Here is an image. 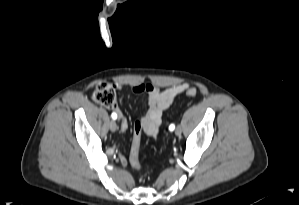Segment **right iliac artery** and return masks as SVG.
Instances as JSON below:
<instances>
[{
  "label": "right iliac artery",
  "instance_id": "1",
  "mask_svg": "<svg viewBox=\"0 0 299 205\" xmlns=\"http://www.w3.org/2000/svg\"><path fill=\"white\" fill-rule=\"evenodd\" d=\"M111 117H112V119L115 120V119L117 118V114H116V113H112V114H111Z\"/></svg>",
  "mask_w": 299,
  "mask_h": 205
}]
</instances>
